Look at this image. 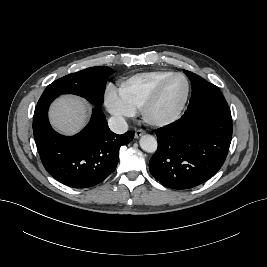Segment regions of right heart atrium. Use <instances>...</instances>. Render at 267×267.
I'll use <instances>...</instances> for the list:
<instances>
[{
	"label": "right heart atrium",
	"mask_w": 267,
	"mask_h": 267,
	"mask_svg": "<svg viewBox=\"0 0 267 267\" xmlns=\"http://www.w3.org/2000/svg\"><path fill=\"white\" fill-rule=\"evenodd\" d=\"M104 103L109 113L119 120H124L134 114V111L122 101L116 90L112 87L106 89Z\"/></svg>",
	"instance_id": "right-heart-atrium-1"
}]
</instances>
